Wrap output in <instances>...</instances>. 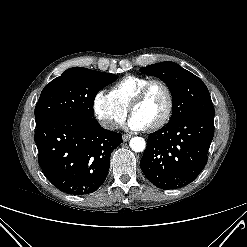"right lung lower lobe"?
Segmentation results:
<instances>
[{
	"mask_svg": "<svg viewBox=\"0 0 247 247\" xmlns=\"http://www.w3.org/2000/svg\"><path fill=\"white\" fill-rule=\"evenodd\" d=\"M36 127L39 166L53 185L73 195L102 185L111 152L122 143L120 133L102 128L96 119L56 118Z\"/></svg>",
	"mask_w": 247,
	"mask_h": 247,
	"instance_id": "obj_1",
	"label": "right lung lower lobe"
}]
</instances>
